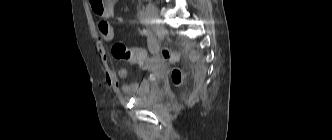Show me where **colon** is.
I'll list each match as a JSON object with an SVG mask.
<instances>
[{
    "mask_svg": "<svg viewBox=\"0 0 332 140\" xmlns=\"http://www.w3.org/2000/svg\"><path fill=\"white\" fill-rule=\"evenodd\" d=\"M106 1L110 2L111 0H89V3L92 10L96 14L102 15L105 11ZM98 29L102 37H107L114 34V29L111 23L106 19H102L99 21ZM112 54L117 59L126 60L129 62H138L144 55L141 50L126 47L121 43H116L113 46ZM160 54L163 58L171 62H177L179 60V55L176 52L170 50L168 47H162L160 50ZM171 79L176 86H181L184 81V75L182 70L179 68H174L171 72Z\"/></svg>",
    "mask_w": 332,
    "mask_h": 140,
    "instance_id": "5ec220e1",
    "label": "colon"
}]
</instances>
